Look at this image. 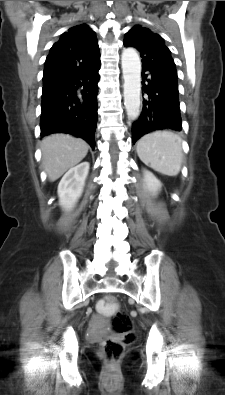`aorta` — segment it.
Here are the masks:
<instances>
[{
  "instance_id": "obj_1",
  "label": "aorta",
  "mask_w": 225,
  "mask_h": 395,
  "mask_svg": "<svg viewBox=\"0 0 225 395\" xmlns=\"http://www.w3.org/2000/svg\"><path fill=\"white\" fill-rule=\"evenodd\" d=\"M122 73L124 79V105L130 119L140 115L141 60L137 51L126 48L122 52Z\"/></svg>"
}]
</instances>
